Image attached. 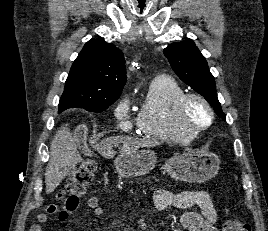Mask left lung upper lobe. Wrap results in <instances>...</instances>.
<instances>
[{"mask_svg":"<svg viewBox=\"0 0 268 231\" xmlns=\"http://www.w3.org/2000/svg\"><path fill=\"white\" fill-rule=\"evenodd\" d=\"M172 69L178 77L196 92L205 97L216 114L226 120L216 94L213 75L207 61L191 39L168 45L164 50Z\"/></svg>","mask_w":268,"mask_h":231,"instance_id":"5c2ea615","label":"left lung upper lobe"}]
</instances>
